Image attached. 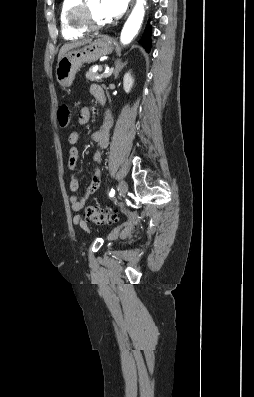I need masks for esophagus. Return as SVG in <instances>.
<instances>
[{"mask_svg":"<svg viewBox=\"0 0 254 397\" xmlns=\"http://www.w3.org/2000/svg\"><path fill=\"white\" fill-rule=\"evenodd\" d=\"M133 4H134V0H132V1H131V4H130V7H129V10H128V12H127V15L129 14L130 10L132 9V7H133Z\"/></svg>","mask_w":254,"mask_h":397,"instance_id":"34e87169","label":"esophagus"}]
</instances>
